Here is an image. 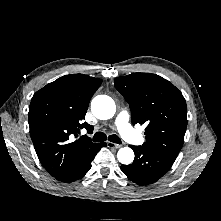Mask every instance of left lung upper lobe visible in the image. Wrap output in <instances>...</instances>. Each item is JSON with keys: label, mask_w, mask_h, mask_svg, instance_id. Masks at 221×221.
I'll use <instances>...</instances> for the list:
<instances>
[{"label": "left lung upper lobe", "mask_w": 221, "mask_h": 221, "mask_svg": "<svg viewBox=\"0 0 221 221\" xmlns=\"http://www.w3.org/2000/svg\"><path fill=\"white\" fill-rule=\"evenodd\" d=\"M114 85L129 103L132 123L147 125L143 146L177 157L187 127L182 93L168 80L150 73L117 77Z\"/></svg>", "instance_id": "1"}]
</instances>
